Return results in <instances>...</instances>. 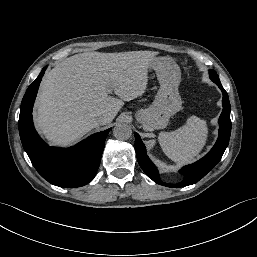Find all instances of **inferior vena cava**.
<instances>
[{
	"instance_id": "1",
	"label": "inferior vena cava",
	"mask_w": 257,
	"mask_h": 257,
	"mask_svg": "<svg viewBox=\"0 0 257 257\" xmlns=\"http://www.w3.org/2000/svg\"><path fill=\"white\" fill-rule=\"evenodd\" d=\"M110 120V115L109 114H104V115H99L96 119L97 123L102 125L106 124Z\"/></svg>"
}]
</instances>
